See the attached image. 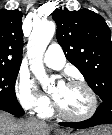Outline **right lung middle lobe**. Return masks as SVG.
I'll return each instance as SVG.
<instances>
[{"mask_svg": "<svg viewBox=\"0 0 112 135\" xmlns=\"http://www.w3.org/2000/svg\"><path fill=\"white\" fill-rule=\"evenodd\" d=\"M20 64H0V103L19 104L15 95V81Z\"/></svg>", "mask_w": 112, "mask_h": 135, "instance_id": "1", "label": "right lung middle lobe"}]
</instances>
